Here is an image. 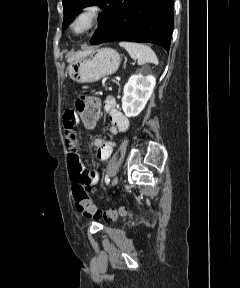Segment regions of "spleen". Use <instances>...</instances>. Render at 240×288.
Segmentation results:
<instances>
[{
  "instance_id": "3e777b00",
  "label": "spleen",
  "mask_w": 240,
  "mask_h": 288,
  "mask_svg": "<svg viewBox=\"0 0 240 288\" xmlns=\"http://www.w3.org/2000/svg\"><path fill=\"white\" fill-rule=\"evenodd\" d=\"M119 45L125 48L129 55L136 59L140 65L145 63L158 64L155 52L145 44L122 41Z\"/></svg>"
}]
</instances>
